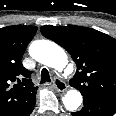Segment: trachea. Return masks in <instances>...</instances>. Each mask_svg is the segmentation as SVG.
Masks as SVG:
<instances>
[{
	"label": "trachea",
	"instance_id": "3493384b",
	"mask_svg": "<svg viewBox=\"0 0 116 116\" xmlns=\"http://www.w3.org/2000/svg\"><path fill=\"white\" fill-rule=\"evenodd\" d=\"M45 82H51V78H50L48 70L46 68H43L41 71V82L40 83H45Z\"/></svg>",
	"mask_w": 116,
	"mask_h": 116
}]
</instances>
